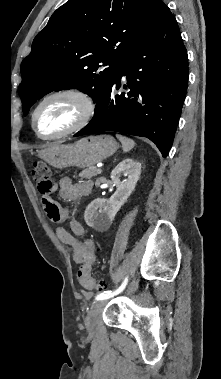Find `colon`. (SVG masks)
Instances as JSON below:
<instances>
[{
  "instance_id": "obj_1",
  "label": "colon",
  "mask_w": 221,
  "mask_h": 379,
  "mask_svg": "<svg viewBox=\"0 0 221 379\" xmlns=\"http://www.w3.org/2000/svg\"><path fill=\"white\" fill-rule=\"evenodd\" d=\"M32 180L37 184L38 191L41 195L48 194L53 186L51 181V171L49 167L43 162H36L32 168ZM86 249L84 255V263L78 270V280L80 285L87 290H95L101 287L92 276V265L96 259V245L92 239L84 241Z\"/></svg>"
}]
</instances>
